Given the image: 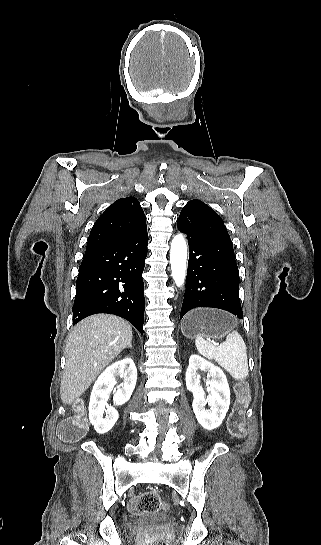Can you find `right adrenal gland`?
Segmentation results:
<instances>
[{
  "mask_svg": "<svg viewBox=\"0 0 321 545\" xmlns=\"http://www.w3.org/2000/svg\"><path fill=\"white\" fill-rule=\"evenodd\" d=\"M129 347H130V349H132V345H131V343H130V345H128V349H129Z\"/></svg>",
  "mask_w": 321,
  "mask_h": 545,
  "instance_id": "1",
  "label": "right adrenal gland"
}]
</instances>
